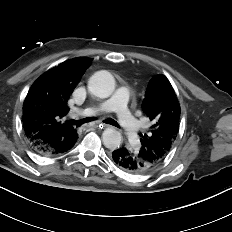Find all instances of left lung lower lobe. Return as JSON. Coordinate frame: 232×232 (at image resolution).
<instances>
[{
	"instance_id": "1",
	"label": "left lung lower lobe",
	"mask_w": 232,
	"mask_h": 232,
	"mask_svg": "<svg viewBox=\"0 0 232 232\" xmlns=\"http://www.w3.org/2000/svg\"><path fill=\"white\" fill-rule=\"evenodd\" d=\"M112 160L117 167L132 174L146 173L155 167L143 159L138 153L125 147L114 150Z\"/></svg>"
}]
</instances>
